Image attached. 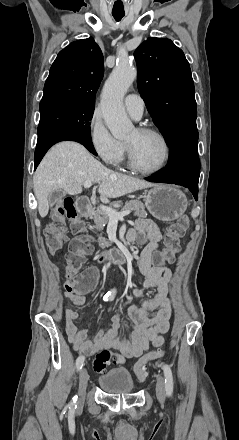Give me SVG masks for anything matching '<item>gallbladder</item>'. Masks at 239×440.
<instances>
[{
    "label": "gallbladder",
    "mask_w": 239,
    "mask_h": 440,
    "mask_svg": "<svg viewBox=\"0 0 239 440\" xmlns=\"http://www.w3.org/2000/svg\"><path fill=\"white\" fill-rule=\"evenodd\" d=\"M64 196H66V192H63V190H53L48 196L49 206H55L56 202L62 200Z\"/></svg>",
    "instance_id": "bac80fb5"
}]
</instances>
